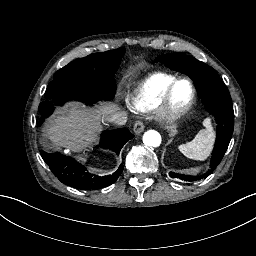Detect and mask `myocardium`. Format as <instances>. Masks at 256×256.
Masks as SVG:
<instances>
[{
	"instance_id": "f54148a6",
	"label": "myocardium",
	"mask_w": 256,
	"mask_h": 256,
	"mask_svg": "<svg viewBox=\"0 0 256 256\" xmlns=\"http://www.w3.org/2000/svg\"><path fill=\"white\" fill-rule=\"evenodd\" d=\"M183 82L189 85L191 90V98L190 101L184 107L176 109L172 105V98L177 86ZM195 101L196 91L191 80H189L188 78H179L169 87V89L165 92V94L161 97V99L158 102H150L152 104V110L149 112L156 113L157 115L161 116L162 120L166 124L172 125L193 108Z\"/></svg>"
}]
</instances>
